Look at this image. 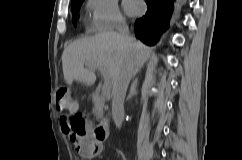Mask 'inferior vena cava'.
Here are the masks:
<instances>
[{"label": "inferior vena cava", "instance_id": "inferior-vena-cava-1", "mask_svg": "<svg viewBox=\"0 0 242 160\" xmlns=\"http://www.w3.org/2000/svg\"><path fill=\"white\" fill-rule=\"evenodd\" d=\"M119 34L126 40H130L128 26L120 23L117 26ZM129 68H124L120 72L117 82L113 86L112 117L116 127L120 128L124 119V99L132 73H140V68H134L133 63L128 64Z\"/></svg>", "mask_w": 242, "mask_h": 160}]
</instances>
